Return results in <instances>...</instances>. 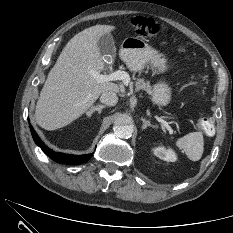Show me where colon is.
<instances>
[{
	"label": "colon",
	"instance_id": "1",
	"mask_svg": "<svg viewBox=\"0 0 233 233\" xmlns=\"http://www.w3.org/2000/svg\"><path fill=\"white\" fill-rule=\"evenodd\" d=\"M134 32L142 37H152L161 31L159 24L152 18L136 16L131 19ZM198 129L206 135H212L215 131L214 120L210 116H202L197 121Z\"/></svg>",
	"mask_w": 233,
	"mask_h": 233
}]
</instances>
